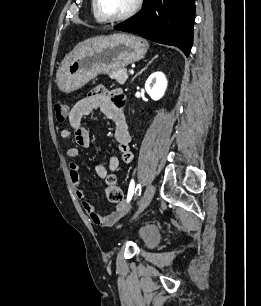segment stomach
<instances>
[{"instance_id":"stomach-1","label":"stomach","mask_w":261,"mask_h":306,"mask_svg":"<svg viewBox=\"0 0 261 306\" xmlns=\"http://www.w3.org/2000/svg\"><path fill=\"white\" fill-rule=\"evenodd\" d=\"M148 46L144 39L127 33L102 37L62 61L56 84L65 93L78 90L99 74H108L141 60Z\"/></svg>"}]
</instances>
